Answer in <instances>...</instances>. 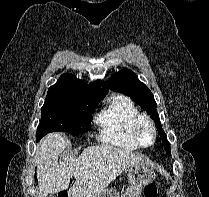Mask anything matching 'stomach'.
Masks as SVG:
<instances>
[{"mask_svg": "<svg viewBox=\"0 0 209 197\" xmlns=\"http://www.w3.org/2000/svg\"><path fill=\"white\" fill-rule=\"evenodd\" d=\"M127 175L129 186L122 196L110 188L104 189L96 197H140L143 188L155 179L153 167L145 161L128 167Z\"/></svg>", "mask_w": 209, "mask_h": 197, "instance_id": "0dacf381", "label": "stomach"}]
</instances>
